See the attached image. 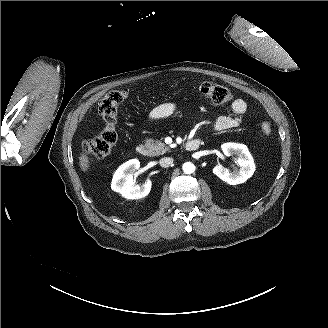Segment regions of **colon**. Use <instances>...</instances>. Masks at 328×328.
Segmentation results:
<instances>
[{
  "label": "colon",
  "instance_id": "5ec220e1",
  "mask_svg": "<svg viewBox=\"0 0 328 328\" xmlns=\"http://www.w3.org/2000/svg\"><path fill=\"white\" fill-rule=\"evenodd\" d=\"M197 90L203 97L215 104H225L232 97L227 88L210 82L201 83ZM128 97L129 94L126 91L112 90L101 99L98 112L104 122V127L96 137L83 144L85 153L95 158H103L111 152L118 138L116 132L118 108ZM261 130L265 135H269L272 130L270 123L263 122Z\"/></svg>",
  "mask_w": 328,
  "mask_h": 328
}]
</instances>
